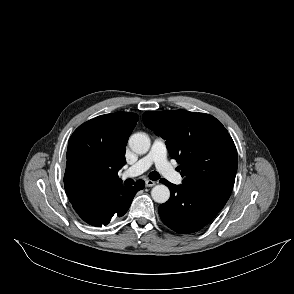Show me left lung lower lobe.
<instances>
[{"label":"left lung lower lobe","instance_id":"1","mask_svg":"<svg viewBox=\"0 0 294 294\" xmlns=\"http://www.w3.org/2000/svg\"><path fill=\"white\" fill-rule=\"evenodd\" d=\"M171 192L170 199L158 208L165 225L187 234L206 226L224 207L233 186L226 184L175 185L161 179Z\"/></svg>","mask_w":294,"mask_h":294}]
</instances>
